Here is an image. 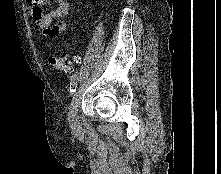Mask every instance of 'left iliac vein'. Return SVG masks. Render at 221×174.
Instances as JSON below:
<instances>
[{
	"label": "left iliac vein",
	"instance_id": "left-iliac-vein-1",
	"mask_svg": "<svg viewBox=\"0 0 221 174\" xmlns=\"http://www.w3.org/2000/svg\"><path fill=\"white\" fill-rule=\"evenodd\" d=\"M79 103H80V93H79V90L77 89V91L73 95V99L70 103L69 113H68L69 125L73 131H78L81 128V124H80L79 116H78Z\"/></svg>",
	"mask_w": 221,
	"mask_h": 174
}]
</instances>
